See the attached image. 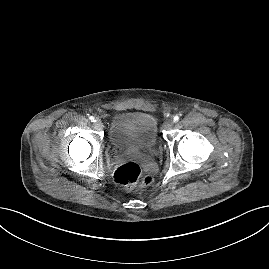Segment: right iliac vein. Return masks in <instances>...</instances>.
Segmentation results:
<instances>
[{
  "label": "right iliac vein",
  "instance_id": "right-iliac-vein-1",
  "mask_svg": "<svg viewBox=\"0 0 269 269\" xmlns=\"http://www.w3.org/2000/svg\"><path fill=\"white\" fill-rule=\"evenodd\" d=\"M94 125H95L96 127H98V128H101V127H102V122H101V120L96 119V120L94 121Z\"/></svg>",
  "mask_w": 269,
  "mask_h": 269
}]
</instances>
